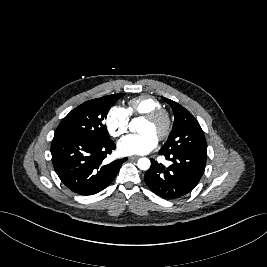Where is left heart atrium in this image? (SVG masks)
<instances>
[{
    "label": "left heart atrium",
    "instance_id": "1",
    "mask_svg": "<svg viewBox=\"0 0 267 267\" xmlns=\"http://www.w3.org/2000/svg\"><path fill=\"white\" fill-rule=\"evenodd\" d=\"M158 138L151 133L129 134L118 142V151L123 155H142L153 150Z\"/></svg>",
    "mask_w": 267,
    "mask_h": 267
}]
</instances>
